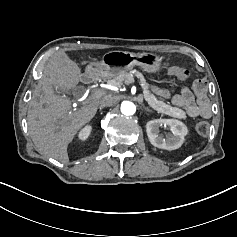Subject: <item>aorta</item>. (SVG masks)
<instances>
[{
  "label": "aorta",
  "mask_w": 237,
  "mask_h": 237,
  "mask_svg": "<svg viewBox=\"0 0 237 237\" xmlns=\"http://www.w3.org/2000/svg\"><path fill=\"white\" fill-rule=\"evenodd\" d=\"M121 113L125 116H132L136 111V107L132 102L125 101L121 104Z\"/></svg>",
  "instance_id": "762f6f07"
}]
</instances>
